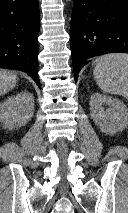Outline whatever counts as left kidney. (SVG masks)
Here are the masks:
<instances>
[{
    "mask_svg": "<svg viewBox=\"0 0 128 213\" xmlns=\"http://www.w3.org/2000/svg\"><path fill=\"white\" fill-rule=\"evenodd\" d=\"M103 105L108 108L105 109ZM90 113L94 123L106 134L121 132L128 126V109L119 99L93 93L90 98Z\"/></svg>",
    "mask_w": 128,
    "mask_h": 213,
    "instance_id": "1",
    "label": "left kidney"
}]
</instances>
